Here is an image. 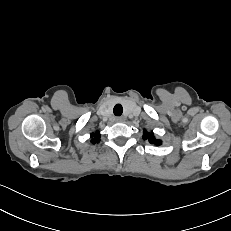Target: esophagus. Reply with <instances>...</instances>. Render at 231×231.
<instances>
[{
	"label": "esophagus",
	"instance_id": "obj_1",
	"mask_svg": "<svg viewBox=\"0 0 231 231\" xmlns=\"http://www.w3.org/2000/svg\"><path fill=\"white\" fill-rule=\"evenodd\" d=\"M115 121H116V122H123V121H124V118H123V117H116V118H115Z\"/></svg>",
	"mask_w": 231,
	"mask_h": 231
}]
</instances>
